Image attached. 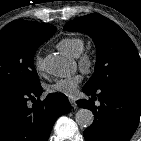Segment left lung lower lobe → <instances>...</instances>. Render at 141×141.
Instances as JSON below:
<instances>
[{"label": "left lung lower lobe", "mask_w": 141, "mask_h": 141, "mask_svg": "<svg viewBox=\"0 0 141 141\" xmlns=\"http://www.w3.org/2000/svg\"><path fill=\"white\" fill-rule=\"evenodd\" d=\"M83 92L97 96L96 107L90 100H78L79 107L90 109L95 115L92 125L84 131L86 141H129L137 129L141 115V85L116 84ZM98 93V94H97Z\"/></svg>", "instance_id": "obj_1"}]
</instances>
